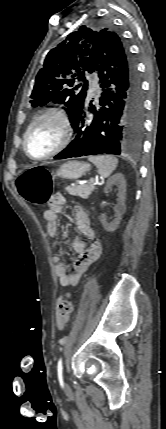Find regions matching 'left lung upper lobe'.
<instances>
[{
    "mask_svg": "<svg viewBox=\"0 0 166 429\" xmlns=\"http://www.w3.org/2000/svg\"><path fill=\"white\" fill-rule=\"evenodd\" d=\"M118 36L109 28L93 29L81 26L69 34L65 41L52 49L38 72L31 94V106H44L48 102L65 104L70 122L87 96L88 82L85 71L92 73L97 50L104 41ZM84 82L74 86V83Z\"/></svg>",
    "mask_w": 166,
    "mask_h": 429,
    "instance_id": "left-lung-upper-lobe-1",
    "label": "left lung upper lobe"
}]
</instances>
